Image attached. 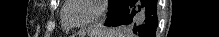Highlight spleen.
I'll return each mask as SVG.
<instances>
[{"instance_id":"1","label":"spleen","mask_w":219,"mask_h":37,"mask_svg":"<svg viewBox=\"0 0 219 37\" xmlns=\"http://www.w3.org/2000/svg\"><path fill=\"white\" fill-rule=\"evenodd\" d=\"M107 35L108 37H127L126 35H129V30L126 27L109 29Z\"/></svg>"}]
</instances>
